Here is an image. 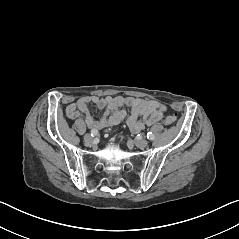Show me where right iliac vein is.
<instances>
[{
    "label": "right iliac vein",
    "mask_w": 239,
    "mask_h": 239,
    "mask_svg": "<svg viewBox=\"0 0 239 239\" xmlns=\"http://www.w3.org/2000/svg\"><path fill=\"white\" fill-rule=\"evenodd\" d=\"M84 142L87 144V145H90L92 142H93V138L90 134H86L84 136Z\"/></svg>",
    "instance_id": "1"
}]
</instances>
